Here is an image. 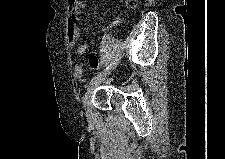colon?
Instances as JSON below:
<instances>
[{
  "mask_svg": "<svg viewBox=\"0 0 225 159\" xmlns=\"http://www.w3.org/2000/svg\"><path fill=\"white\" fill-rule=\"evenodd\" d=\"M72 3H75L76 0H71ZM128 7H134L136 5V0H126Z\"/></svg>",
  "mask_w": 225,
  "mask_h": 159,
  "instance_id": "colon-1",
  "label": "colon"
}]
</instances>
